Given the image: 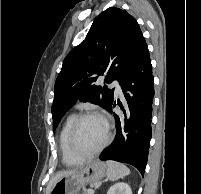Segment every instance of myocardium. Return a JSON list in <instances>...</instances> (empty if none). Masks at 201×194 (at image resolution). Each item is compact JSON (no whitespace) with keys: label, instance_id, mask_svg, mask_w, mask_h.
<instances>
[{"label":"myocardium","instance_id":"1","mask_svg":"<svg viewBox=\"0 0 201 194\" xmlns=\"http://www.w3.org/2000/svg\"><path fill=\"white\" fill-rule=\"evenodd\" d=\"M92 117H97L104 121V123L106 125L107 133H106V137H105L104 141L97 149H95L94 151H91V152H85V151L81 150L78 146L77 135H78L79 126L82 123V121L87 118H92ZM110 139H111L110 128H109L107 121L104 119V117L96 112L88 111V112H82L79 115H77L75 117L74 121L72 122L70 130H69V134H68V145H69L71 152L75 156H77L81 159H89V158H93V157L97 156L98 154H100L104 150V148L109 144Z\"/></svg>","mask_w":201,"mask_h":194}]
</instances>
